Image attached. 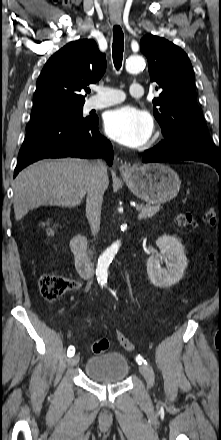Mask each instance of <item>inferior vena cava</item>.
Instances as JSON below:
<instances>
[{
    "mask_svg": "<svg viewBox=\"0 0 221 440\" xmlns=\"http://www.w3.org/2000/svg\"><path fill=\"white\" fill-rule=\"evenodd\" d=\"M107 181L106 163L101 159L92 162L91 178L86 198V216L94 236L100 230L101 208Z\"/></svg>",
    "mask_w": 221,
    "mask_h": 440,
    "instance_id": "obj_1",
    "label": "inferior vena cava"
}]
</instances>
